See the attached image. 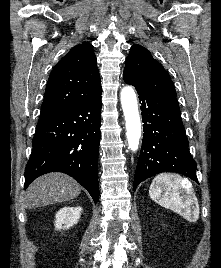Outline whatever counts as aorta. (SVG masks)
<instances>
[{
    "mask_svg": "<svg viewBox=\"0 0 221 268\" xmlns=\"http://www.w3.org/2000/svg\"><path fill=\"white\" fill-rule=\"evenodd\" d=\"M120 99L126 121L128 147L132 151H136L141 138V122L134 89L131 86L124 87L121 91Z\"/></svg>",
    "mask_w": 221,
    "mask_h": 268,
    "instance_id": "762f6f07",
    "label": "aorta"
}]
</instances>
